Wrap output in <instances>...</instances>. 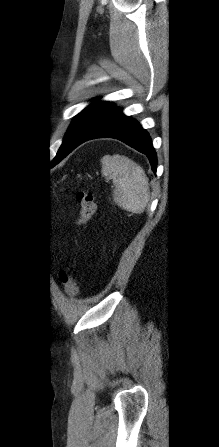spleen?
Here are the masks:
<instances>
[{
  "label": "spleen",
  "instance_id": "1",
  "mask_svg": "<svg viewBox=\"0 0 219 447\" xmlns=\"http://www.w3.org/2000/svg\"><path fill=\"white\" fill-rule=\"evenodd\" d=\"M102 174L115 186L114 202L126 211L140 214L148 203L149 187L144 170L124 155H105L101 159Z\"/></svg>",
  "mask_w": 219,
  "mask_h": 447
}]
</instances>
